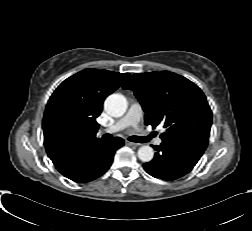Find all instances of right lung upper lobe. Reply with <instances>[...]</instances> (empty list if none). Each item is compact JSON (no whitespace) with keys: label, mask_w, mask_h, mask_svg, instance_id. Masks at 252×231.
Returning <instances> with one entry per match:
<instances>
[{"label":"right lung upper lobe","mask_w":252,"mask_h":231,"mask_svg":"<svg viewBox=\"0 0 252 231\" xmlns=\"http://www.w3.org/2000/svg\"><path fill=\"white\" fill-rule=\"evenodd\" d=\"M129 73L92 68L64 80L51 95L43 117L44 145L56 169L64 176L77 162L81 148L96 138L105 98Z\"/></svg>","instance_id":"right-lung-upper-lobe-1"}]
</instances>
